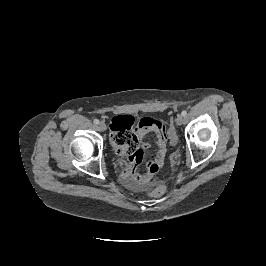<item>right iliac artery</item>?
Segmentation results:
<instances>
[{
  "instance_id": "right-iliac-artery-1",
  "label": "right iliac artery",
  "mask_w": 266,
  "mask_h": 266,
  "mask_svg": "<svg viewBox=\"0 0 266 266\" xmlns=\"http://www.w3.org/2000/svg\"><path fill=\"white\" fill-rule=\"evenodd\" d=\"M94 123H95V124H99V120H98V119H95V120H94Z\"/></svg>"
}]
</instances>
